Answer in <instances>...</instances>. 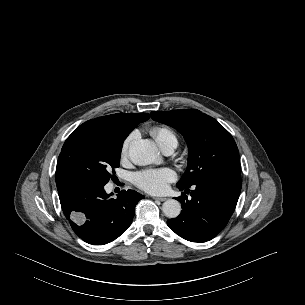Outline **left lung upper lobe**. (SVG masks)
Masks as SVG:
<instances>
[{
  "mask_svg": "<svg viewBox=\"0 0 305 305\" xmlns=\"http://www.w3.org/2000/svg\"><path fill=\"white\" fill-rule=\"evenodd\" d=\"M151 117L178 130L187 142L188 167L178 186L189 187L212 175L240 172L237 145L214 118L193 109L153 111Z\"/></svg>",
  "mask_w": 305,
  "mask_h": 305,
  "instance_id": "5c2ea615",
  "label": "left lung upper lobe"
}]
</instances>
